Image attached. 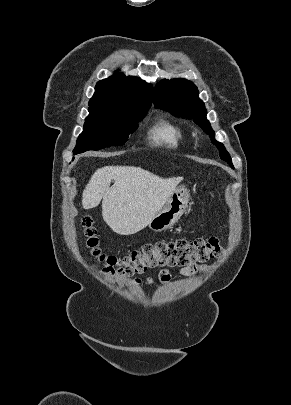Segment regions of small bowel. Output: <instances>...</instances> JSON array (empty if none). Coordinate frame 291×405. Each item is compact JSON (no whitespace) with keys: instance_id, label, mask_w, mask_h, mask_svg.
<instances>
[{"instance_id":"obj_1","label":"small bowel","mask_w":291,"mask_h":405,"mask_svg":"<svg viewBox=\"0 0 291 405\" xmlns=\"http://www.w3.org/2000/svg\"><path fill=\"white\" fill-rule=\"evenodd\" d=\"M206 269V265L205 264H192L190 266L184 267L180 269V274L184 275V276H188V275H192L195 274L199 271H204ZM171 276H170V272L166 269L162 270L159 274V281L162 284H168L170 282ZM143 282H146L150 285L153 284V280L151 278H146V279H142V278H136L133 280V283L135 284H141Z\"/></svg>"}]
</instances>
